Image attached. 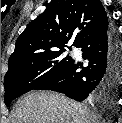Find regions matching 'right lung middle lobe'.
I'll return each mask as SVG.
<instances>
[{
    "label": "right lung middle lobe",
    "mask_w": 122,
    "mask_h": 123,
    "mask_svg": "<svg viewBox=\"0 0 122 123\" xmlns=\"http://www.w3.org/2000/svg\"><path fill=\"white\" fill-rule=\"evenodd\" d=\"M65 50L31 56L9 65L4 78L5 104L63 72L72 62Z\"/></svg>",
    "instance_id": "1"
}]
</instances>
